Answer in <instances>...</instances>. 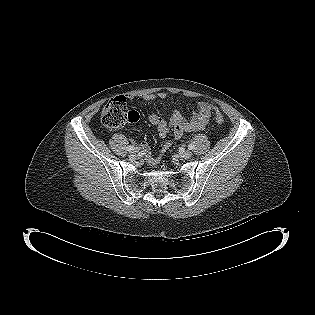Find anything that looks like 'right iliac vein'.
<instances>
[{"label":"right iliac vein","instance_id":"right-iliac-vein-1","mask_svg":"<svg viewBox=\"0 0 315 315\" xmlns=\"http://www.w3.org/2000/svg\"><path fill=\"white\" fill-rule=\"evenodd\" d=\"M137 153H138V149L133 150V152H132V154H131V157L134 158Z\"/></svg>","mask_w":315,"mask_h":315}]
</instances>
